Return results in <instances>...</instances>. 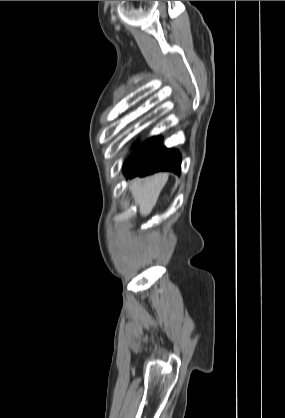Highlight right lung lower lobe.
Wrapping results in <instances>:
<instances>
[{
  "mask_svg": "<svg viewBox=\"0 0 285 418\" xmlns=\"http://www.w3.org/2000/svg\"><path fill=\"white\" fill-rule=\"evenodd\" d=\"M123 171L127 177L145 176L158 171L180 174L181 155L177 150L163 146L160 137H152L133 151L125 161Z\"/></svg>",
  "mask_w": 285,
  "mask_h": 418,
  "instance_id": "obj_1",
  "label": "right lung lower lobe"
}]
</instances>
